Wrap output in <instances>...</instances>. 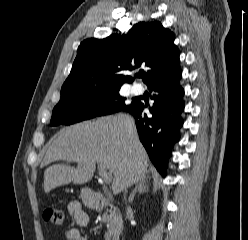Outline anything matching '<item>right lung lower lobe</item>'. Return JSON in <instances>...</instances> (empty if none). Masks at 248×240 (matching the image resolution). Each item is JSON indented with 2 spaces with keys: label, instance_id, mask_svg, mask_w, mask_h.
Listing matches in <instances>:
<instances>
[{
  "label": "right lung lower lobe",
  "instance_id": "obj_1",
  "mask_svg": "<svg viewBox=\"0 0 248 240\" xmlns=\"http://www.w3.org/2000/svg\"><path fill=\"white\" fill-rule=\"evenodd\" d=\"M181 77L182 72L179 69L171 76L148 86L154 92V104L149 108L151 116L143 112L146 105L139 101L123 110L135 118L140 141L163 176L166 175L168 159L173 145L180 138L179 129L183 125L180 117L184 110V89L179 84Z\"/></svg>",
  "mask_w": 248,
  "mask_h": 240
}]
</instances>
